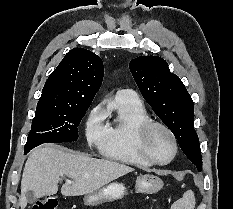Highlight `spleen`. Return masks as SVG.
<instances>
[{"mask_svg":"<svg viewBox=\"0 0 233 209\" xmlns=\"http://www.w3.org/2000/svg\"><path fill=\"white\" fill-rule=\"evenodd\" d=\"M195 204L194 193L192 190H188L172 205L171 209H195Z\"/></svg>","mask_w":233,"mask_h":209,"instance_id":"obj_1","label":"spleen"}]
</instances>
